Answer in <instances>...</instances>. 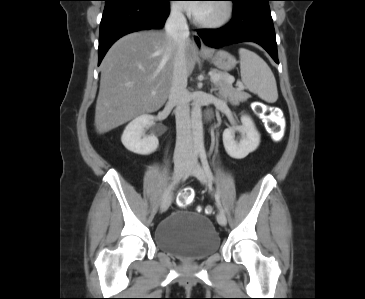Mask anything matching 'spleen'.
Returning a JSON list of instances; mask_svg holds the SVG:
<instances>
[{
  "label": "spleen",
  "mask_w": 365,
  "mask_h": 299,
  "mask_svg": "<svg viewBox=\"0 0 365 299\" xmlns=\"http://www.w3.org/2000/svg\"><path fill=\"white\" fill-rule=\"evenodd\" d=\"M239 56L241 79L246 88L266 102H276V80L267 63L255 52L245 48L239 49Z\"/></svg>",
  "instance_id": "obj_1"
}]
</instances>
